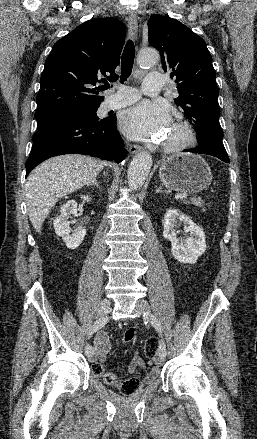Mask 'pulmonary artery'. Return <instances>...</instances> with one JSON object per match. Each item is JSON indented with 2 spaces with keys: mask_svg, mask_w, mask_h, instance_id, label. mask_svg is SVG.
I'll use <instances>...</instances> for the list:
<instances>
[{
  "mask_svg": "<svg viewBox=\"0 0 257 439\" xmlns=\"http://www.w3.org/2000/svg\"><path fill=\"white\" fill-rule=\"evenodd\" d=\"M164 84V76L160 73H149L146 75L142 89L148 95L159 93ZM140 97L138 91L131 87L122 86L119 92L106 100L108 109H117L133 103Z\"/></svg>",
  "mask_w": 257,
  "mask_h": 439,
  "instance_id": "e3ab8cb5",
  "label": "pulmonary artery"
}]
</instances>
